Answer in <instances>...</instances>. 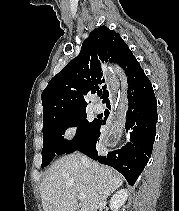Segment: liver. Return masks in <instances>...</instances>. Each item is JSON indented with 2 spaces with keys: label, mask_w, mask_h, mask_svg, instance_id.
<instances>
[{
  "label": "liver",
  "mask_w": 179,
  "mask_h": 211,
  "mask_svg": "<svg viewBox=\"0 0 179 211\" xmlns=\"http://www.w3.org/2000/svg\"><path fill=\"white\" fill-rule=\"evenodd\" d=\"M78 153L57 159L41 183L44 211H77L78 194L85 195L80 211H97L119 188L123 180L112 169L89 161L84 164Z\"/></svg>",
  "instance_id": "1"
}]
</instances>
